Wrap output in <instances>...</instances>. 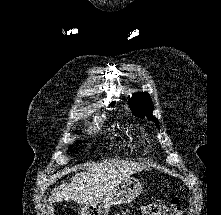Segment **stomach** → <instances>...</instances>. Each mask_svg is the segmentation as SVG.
<instances>
[{
  "label": "stomach",
  "mask_w": 221,
  "mask_h": 215,
  "mask_svg": "<svg viewBox=\"0 0 221 215\" xmlns=\"http://www.w3.org/2000/svg\"><path fill=\"white\" fill-rule=\"evenodd\" d=\"M142 191V184L133 177L123 179L112 191L100 201L84 205L80 215H107L110 207L134 201Z\"/></svg>",
  "instance_id": "0dacf381"
}]
</instances>
